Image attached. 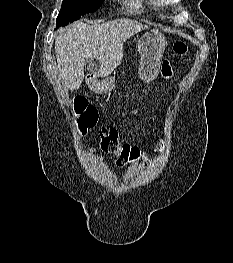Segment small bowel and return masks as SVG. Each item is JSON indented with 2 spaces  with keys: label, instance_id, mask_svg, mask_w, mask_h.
<instances>
[{
  "label": "small bowel",
  "instance_id": "small-bowel-1",
  "mask_svg": "<svg viewBox=\"0 0 233 263\" xmlns=\"http://www.w3.org/2000/svg\"><path fill=\"white\" fill-rule=\"evenodd\" d=\"M161 73L165 78H170L172 75V70L168 62H164L162 65Z\"/></svg>",
  "mask_w": 233,
  "mask_h": 263
}]
</instances>
